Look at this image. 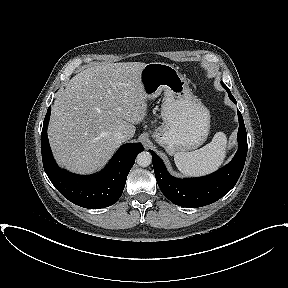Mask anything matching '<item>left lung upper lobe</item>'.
<instances>
[{
    "instance_id": "1",
    "label": "left lung upper lobe",
    "mask_w": 288,
    "mask_h": 288,
    "mask_svg": "<svg viewBox=\"0 0 288 288\" xmlns=\"http://www.w3.org/2000/svg\"><path fill=\"white\" fill-rule=\"evenodd\" d=\"M221 84L225 89L228 88L223 82Z\"/></svg>"
}]
</instances>
